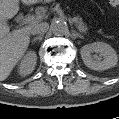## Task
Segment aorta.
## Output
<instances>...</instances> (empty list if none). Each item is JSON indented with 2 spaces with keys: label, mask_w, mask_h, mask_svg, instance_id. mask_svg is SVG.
Instances as JSON below:
<instances>
[{
  "label": "aorta",
  "mask_w": 119,
  "mask_h": 119,
  "mask_svg": "<svg viewBox=\"0 0 119 119\" xmlns=\"http://www.w3.org/2000/svg\"><path fill=\"white\" fill-rule=\"evenodd\" d=\"M51 31L55 36H63L68 32V26L64 21H54L51 24Z\"/></svg>",
  "instance_id": "aorta-1"
}]
</instances>
